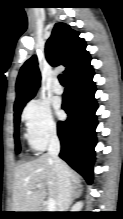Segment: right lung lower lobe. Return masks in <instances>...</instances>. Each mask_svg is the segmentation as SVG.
<instances>
[{"label":"right lung lower lobe","mask_w":123,"mask_h":219,"mask_svg":"<svg viewBox=\"0 0 123 219\" xmlns=\"http://www.w3.org/2000/svg\"><path fill=\"white\" fill-rule=\"evenodd\" d=\"M90 60L67 77L68 86L63 94L62 108L68 118L58 122L60 158L89 183L93 179L94 147L97 143L95 112L98 108L94 98L96 88L92 81L94 72Z\"/></svg>","instance_id":"1"}]
</instances>
